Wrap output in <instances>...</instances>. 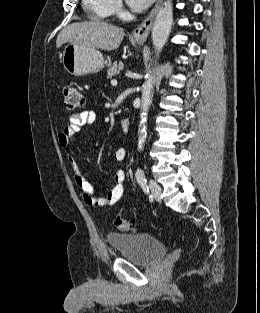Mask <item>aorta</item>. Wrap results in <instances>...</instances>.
<instances>
[{
  "mask_svg": "<svg viewBox=\"0 0 260 313\" xmlns=\"http://www.w3.org/2000/svg\"><path fill=\"white\" fill-rule=\"evenodd\" d=\"M173 23V5L172 0L165 1L159 9L154 26L152 29V42L155 48L156 56L162 51L166 44ZM154 75L149 74L142 86L140 126L138 131V150L142 151L147 138V115L151 104V98L154 87Z\"/></svg>",
  "mask_w": 260,
  "mask_h": 313,
  "instance_id": "762f6f07",
  "label": "aorta"
}]
</instances>
